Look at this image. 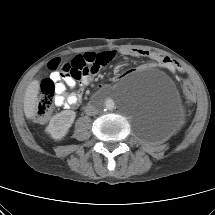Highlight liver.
<instances>
[{"label": "liver", "instance_id": "liver-1", "mask_svg": "<svg viewBox=\"0 0 215 215\" xmlns=\"http://www.w3.org/2000/svg\"><path fill=\"white\" fill-rule=\"evenodd\" d=\"M40 83L33 80L27 87L24 96V113L27 119H32L37 112Z\"/></svg>", "mask_w": 215, "mask_h": 215}]
</instances>
